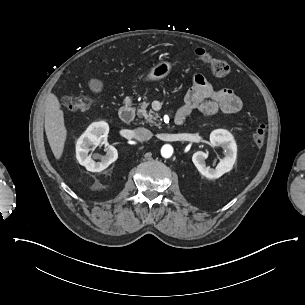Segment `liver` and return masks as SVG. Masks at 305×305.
<instances>
[{"mask_svg": "<svg viewBox=\"0 0 305 305\" xmlns=\"http://www.w3.org/2000/svg\"><path fill=\"white\" fill-rule=\"evenodd\" d=\"M45 131L55 158L60 159L67 131L63 111L60 110V103L54 94H49L45 99Z\"/></svg>", "mask_w": 305, "mask_h": 305, "instance_id": "liver-1", "label": "liver"}]
</instances>
